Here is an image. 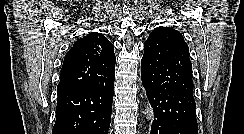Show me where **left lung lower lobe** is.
Masks as SVG:
<instances>
[{
    "label": "left lung lower lobe",
    "mask_w": 244,
    "mask_h": 134,
    "mask_svg": "<svg viewBox=\"0 0 244 134\" xmlns=\"http://www.w3.org/2000/svg\"><path fill=\"white\" fill-rule=\"evenodd\" d=\"M141 79L154 111L150 134H198L193 92L157 86L142 70Z\"/></svg>",
    "instance_id": "left-lung-lower-lobe-1"
}]
</instances>
